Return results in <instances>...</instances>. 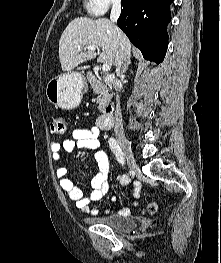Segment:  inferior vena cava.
<instances>
[{"mask_svg": "<svg viewBox=\"0 0 221 263\" xmlns=\"http://www.w3.org/2000/svg\"><path fill=\"white\" fill-rule=\"evenodd\" d=\"M121 13V0H112V10L110 14V20L115 23L119 18ZM122 46V44H120ZM122 59L120 52L118 51L116 54L114 65L116 67V74L119 77H122L121 74V66H122ZM115 135L118 137H124L123 131V123H122V113L120 109V100L119 95L116 96V110H115V127H114Z\"/></svg>", "mask_w": 221, "mask_h": 263, "instance_id": "602c4592", "label": "inferior vena cava"}]
</instances>
